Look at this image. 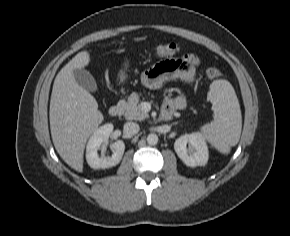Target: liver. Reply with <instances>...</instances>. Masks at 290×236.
<instances>
[{"instance_id":"obj_1","label":"liver","mask_w":290,"mask_h":236,"mask_svg":"<svg viewBox=\"0 0 290 236\" xmlns=\"http://www.w3.org/2000/svg\"><path fill=\"white\" fill-rule=\"evenodd\" d=\"M90 62V54H76L57 74L50 100V130L60 157L71 168L83 171V155L90 135L104 117L96 99L75 80L73 71Z\"/></svg>"}]
</instances>
